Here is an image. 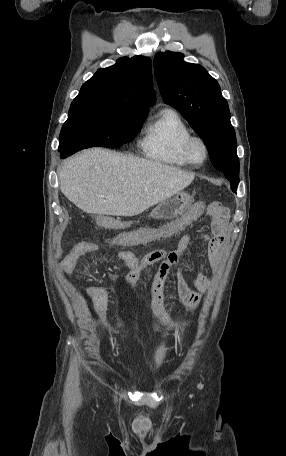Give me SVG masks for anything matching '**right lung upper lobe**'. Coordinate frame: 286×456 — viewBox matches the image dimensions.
<instances>
[{
  "instance_id": "cb5924a9",
  "label": "right lung upper lobe",
  "mask_w": 286,
  "mask_h": 456,
  "mask_svg": "<svg viewBox=\"0 0 286 456\" xmlns=\"http://www.w3.org/2000/svg\"><path fill=\"white\" fill-rule=\"evenodd\" d=\"M154 102L151 59L135 56L119 58L114 66L99 69L72 103L148 113Z\"/></svg>"
}]
</instances>
